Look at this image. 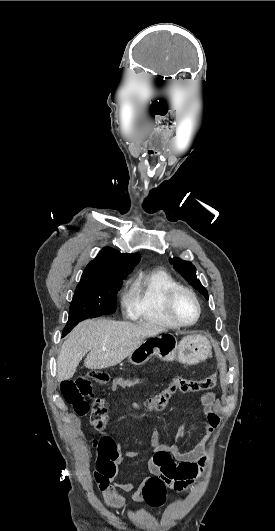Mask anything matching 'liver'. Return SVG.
Instances as JSON below:
<instances>
[{
    "instance_id": "obj_1",
    "label": "liver",
    "mask_w": 275,
    "mask_h": 531,
    "mask_svg": "<svg viewBox=\"0 0 275 531\" xmlns=\"http://www.w3.org/2000/svg\"><path fill=\"white\" fill-rule=\"evenodd\" d=\"M164 333L162 327L150 323L88 319L79 323L64 341L57 361L58 381L73 377L80 361L88 353L87 369H107L124 361L147 337ZM108 349V351H102Z\"/></svg>"
}]
</instances>
